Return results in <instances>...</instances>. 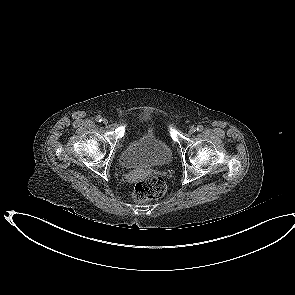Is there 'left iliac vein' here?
<instances>
[{"instance_id":"left-iliac-vein-1","label":"left iliac vein","mask_w":295,"mask_h":295,"mask_svg":"<svg viewBox=\"0 0 295 295\" xmlns=\"http://www.w3.org/2000/svg\"><path fill=\"white\" fill-rule=\"evenodd\" d=\"M195 131H196V128H195V127H191V128L189 129V133H190V134H193Z\"/></svg>"}]
</instances>
